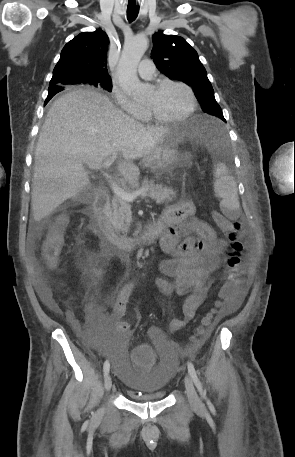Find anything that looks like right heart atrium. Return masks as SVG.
<instances>
[{
  "label": "right heart atrium",
  "mask_w": 295,
  "mask_h": 457,
  "mask_svg": "<svg viewBox=\"0 0 295 457\" xmlns=\"http://www.w3.org/2000/svg\"><path fill=\"white\" fill-rule=\"evenodd\" d=\"M111 92L114 101L123 111L137 119L142 117L144 109L132 101L123 89L113 86Z\"/></svg>",
  "instance_id": "1"
}]
</instances>
